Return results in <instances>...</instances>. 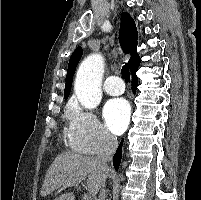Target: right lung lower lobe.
I'll return each instance as SVG.
<instances>
[{
	"mask_svg": "<svg viewBox=\"0 0 201 200\" xmlns=\"http://www.w3.org/2000/svg\"><path fill=\"white\" fill-rule=\"evenodd\" d=\"M132 84H133V90L136 91L137 85H138V78L136 76V72L132 73ZM122 144L123 140L121 141L120 145L118 146V149L113 157V165L115 170H118L121 158H122Z\"/></svg>",
	"mask_w": 201,
	"mask_h": 200,
	"instance_id": "1",
	"label": "right lung lower lobe"
}]
</instances>
